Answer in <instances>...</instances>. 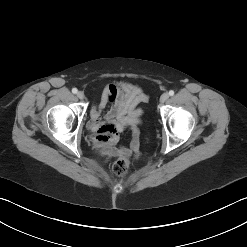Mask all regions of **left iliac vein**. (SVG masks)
<instances>
[{
    "label": "left iliac vein",
    "mask_w": 247,
    "mask_h": 247,
    "mask_svg": "<svg viewBox=\"0 0 247 247\" xmlns=\"http://www.w3.org/2000/svg\"><path fill=\"white\" fill-rule=\"evenodd\" d=\"M169 98V94L168 93H163L160 97V102L163 104L165 103Z\"/></svg>",
    "instance_id": "1"
}]
</instances>
